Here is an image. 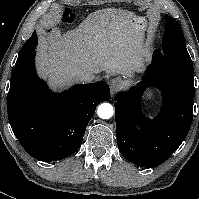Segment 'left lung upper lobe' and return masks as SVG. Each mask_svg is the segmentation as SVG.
Returning <instances> with one entry per match:
<instances>
[{
  "instance_id": "5c2ea615",
  "label": "left lung upper lobe",
  "mask_w": 199,
  "mask_h": 199,
  "mask_svg": "<svg viewBox=\"0 0 199 199\" xmlns=\"http://www.w3.org/2000/svg\"><path fill=\"white\" fill-rule=\"evenodd\" d=\"M165 19L167 25L162 39L163 51H156V60L169 61L193 69L180 24L169 16H166Z\"/></svg>"
}]
</instances>
